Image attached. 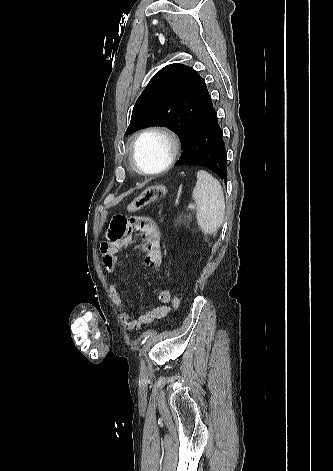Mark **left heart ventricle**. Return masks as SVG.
<instances>
[{
    "label": "left heart ventricle",
    "mask_w": 333,
    "mask_h": 471,
    "mask_svg": "<svg viewBox=\"0 0 333 471\" xmlns=\"http://www.w3.org/2000/svg\"><path fill=\"white\" fill-rule=\"evenodd\" d=\"M169 154L167 140L159 134H149L143 137L137 144L136 160L146 170L160 168Z\"/></svg>",
    "instance_id": "1"
}]
</instances>
